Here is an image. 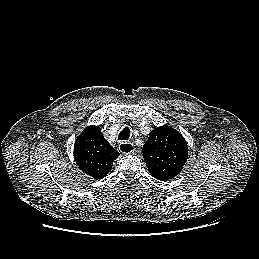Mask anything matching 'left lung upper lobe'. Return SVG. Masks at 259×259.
Here are the masks:
<instances>
[{"instance_id": "obj_1", "label": "left lung upper lobe", "mask_w": 259, "mask_h": 259, "mask_svg": "<svg viewBox=\"0 0 259 259\" xmlns=\"http://www.w3.org/2000/svg\"><path fill=\"white\" fill-rule=\"evenodd\" d=\"M142 152L150 174L161 181L177 176L188 159L184 137L170 126L152 130Z\"/></svg>"}]
</instances>
